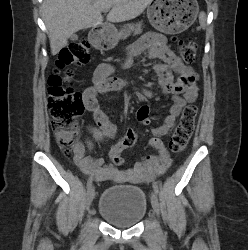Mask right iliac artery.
Masks as SVG:
<instances>
[{
  "label": "right iliac artery",
  "mask_w": 248,
  "mask_h": 250,
  "mask_svg": "<svg viewBox=\"0 0 248 250\" xmlns=\"http://www.w3.org/2000/svg\"><path fill=\"white\" fill-rule=\"evenodd\" d=\"M92 182H93V177L90 176L87 180V188H89L92 185Z\"/></svg>",
  "instance_id": "right-iliac-artery-1"
}]
</instances>
